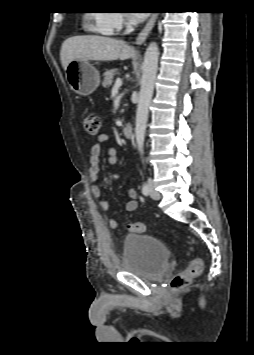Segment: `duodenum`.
I'll return each mask as SVG.
<instances>
[{
	"label": "duodenum",
	"instance_id": "duodenum-1",
	"mask_svg": "<svg viewBox=\"0 0 254 355\" xmlns=\"http://www.w3.org/2000/svg\"><path fill=\"white\" fill-rule=\"evenodd\" d=\"M122 131H123L124 136L127 138H131L134 133L133 126L129 123H125L123 125Z\"/></svg>",
	"mask_w": 254,
	"mask_h": 355
}]
</instances>
